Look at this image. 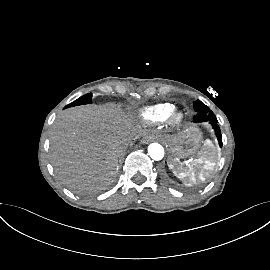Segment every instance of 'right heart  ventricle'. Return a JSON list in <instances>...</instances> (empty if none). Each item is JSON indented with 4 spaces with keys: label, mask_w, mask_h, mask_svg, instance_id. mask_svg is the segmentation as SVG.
Returning <instances> with one entry per match:
<instances>
[{
    "label": "right heart ventricle",
    "mask_w": 270,
    "mask_h": 270,
    "mask_svg": "<svg viewBox=\"0 0 270 270\" xmlns=\"http://www.w3.org/2000/svg\"><path fill=\"white\" fill-rule=\"evenodd\" d=\"M174 109L175 106L172 103H159L143 108L140 111V117L147 123L158 124L166 121Z\"/></svg>",
    "instance_id": "obj_1"
}]
</instances>
